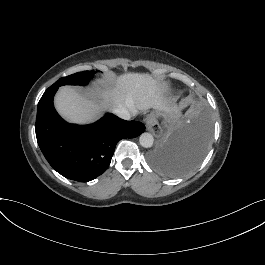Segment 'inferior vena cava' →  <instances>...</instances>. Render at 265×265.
Wrapping results in <instances>:
<instances>
[{
    "label": "inferior vena cava",
    "instance_id": "1",
    "mask_svg": "<svg viewBox=\"0 0 265 265\" xmlns=\"http://www.w3.org/2000/svg\"><path fill=\"white\" fill-rule=\"evenodd\" d=\"M112 112L116 114L118 117L125 119V120H130L131 118L130 112L126 108L121 107V106L113 109Z\"/></svg>",
    "mask_w": 265,
    "mask_h": 265
}]
</instances>
